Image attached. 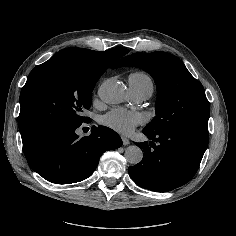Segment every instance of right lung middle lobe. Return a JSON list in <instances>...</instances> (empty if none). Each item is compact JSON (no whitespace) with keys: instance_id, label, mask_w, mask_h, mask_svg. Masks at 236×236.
<instances>
[{"instance_id":"dd1d6c3e","label":"right lung middle lobe","mask_w":236,"mask_h":236,"mask_svg":"<svg viewBox=\"0 0 236 236\" xmlns=\"http://www.w3.org/2000/svg\"><path fill=\"white\" fill-rule=\"evenodd\" d=\"M106 69L73 48L36 66L20 93L22 142L53 126L88 122L82 112L90 108L93 88Z\"/></svg>"}]
</instances>
